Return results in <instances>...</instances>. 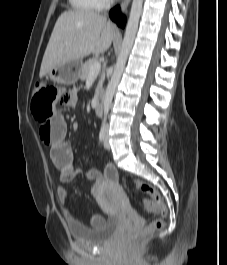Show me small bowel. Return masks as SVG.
I'll return each mask as SVG.
<instances>
[{"label": "small bowel", "mask_w": 227, "mask_h": 265, "mask_svg": "<svg viewBox=\"0 0 227 265\" xmlns=\"http://www.w3.org/2000/svg\"><path fill=\"white\" fill-rule=\"evenodd\" d=\"M77 101L75 92L68 93L64 99H61L60 108L74 106ZM67 123L61 115H54L50 120H43L40 126L39 135L42 142L49 146V154L52 162L60 170V182L57 186V195L62 203L69 200V193L65 188V184L72 181L77 175L85 174L86 177L93 181L91 189L92 195H97L101 186L108 182H115L117 179V171L113 166H107L102 173L100 170L92 168L86 171L75 168L73 151L69 143L66 141ZM65 216L69 222L76 223L73 215L67 211ZM103 222V218L99 215L91 217L92 226L99 225Z\"/></svg>", "instance_id": "obj_1"}]
</instances>
